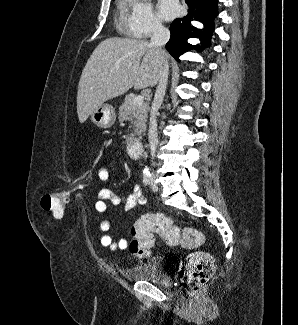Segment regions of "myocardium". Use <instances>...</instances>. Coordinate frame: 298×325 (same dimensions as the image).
<instances>
[{
  "mask_svg": "<svg viewBox=\"0 0 298 325\" xmlns=\"http://www.w3.org/2000/svg\"><path fill=\"white\" fill-rule=\"evenodd\" d=\"M163 68H160L158 71L161 72Z\"/></svg>",
  "mask_w": 298,
  "mask_h": 325,
  "instance_id": "f54148a6",
  "label": "myocardium"
}]
</instances>
